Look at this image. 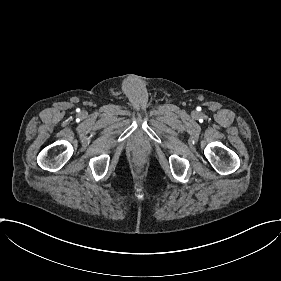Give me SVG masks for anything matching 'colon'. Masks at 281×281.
Instances as JSON below:
<instances>
[{
  "mask_svg": "<svg viewBox=\"0 0 281 281\" xmlns=\"http://www.w3.org/2000/svg\"><path fill=\"white\" fill-rule=\"evenodd\" d=\"M134 164L137 167H141V166L144 165V160L140 157H137V158L134 159Z\"/></svg>",
  "mask_w": 281,
  "mask_h": 281,
  "instance_id": "colon-1",
  "label": "colon"
}]
</instances>
